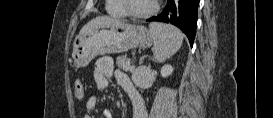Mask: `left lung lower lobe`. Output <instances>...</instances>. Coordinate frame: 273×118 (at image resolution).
Masks as SVG:
<instances>
[{"mask_svg": "<svg viewBox=\"0 0 273 118\" xmlns=\"http://www.w3.org/2000/svg\"><path fill=\"white\" fill-rule=\"evenodd\" d=\"M198 5L199 0H168L162 13L147 19V21L175 25L186 34L192 46L196 34Z\"/></svg>", "mask_w": 273, "mask_h": 118, "instance_id": "0a47b994", "label": "left lung lower lobe"}]
</instances>
